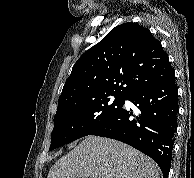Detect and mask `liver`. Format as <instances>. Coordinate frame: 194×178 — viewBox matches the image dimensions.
Wrapping results in <instances>:
<instances>
[{"instance_id": "1", "label": "liver", "mask_w": 194, "mask_h": 178, "mask_svg": "<svg viewBox=\"0 0 194 178\" xmlns=\"http://www.w3.org/2000/svg\"><path fill=\"white\" fill-rule=\"evenodd\" d=\"M47 178H159L156 163L113 139L87 136L50 169Z\"/></svg>"}]
</instances>
